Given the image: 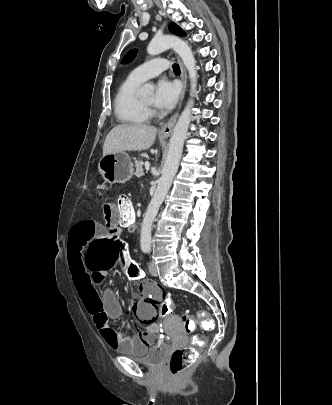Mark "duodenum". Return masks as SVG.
<instances>
[{"mask_svg":"<svg viewBox=\"0 0 332 405\" xmlns=\"http://www.w3.org/2000/svg\"><path fill=\"white\" fill-rule=\"evenodd\" d=\"M126 227L128 229L129 232H135L138 228V223L136 221L135 218L130 219L127 223H126Z\"/></svg>","mask_w":332,"mask_h":405,"instance_id":"duodenum-1","label":"duodenum"}]
</instances>
